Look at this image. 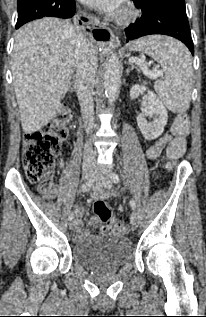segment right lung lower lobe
<instances>
[{
    "label": "right lung lower lobe",
    "instance_id": "obj_1",
    "mask_svg": "<svg viewBox=\"0 0 206 317\" xmlns=\"http://www.w3.org/2000/svg\"><path fill=\"white\" fill-rule=\"evenodd\" d=\"M59 18H70L75 13V0H71L69 3H65L57 9Z\"/></svg>",
    "mask_w": 206,
    "mask_h": 317
}]
</instances>
